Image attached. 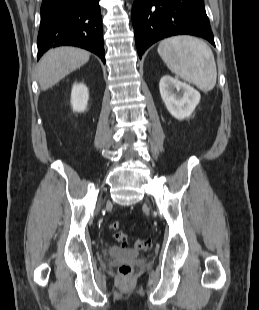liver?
Returning a JSON list of instances; mask_svg holds the SVG:
<instances>
[{
    "mask_svg": "<svg viewBox=\"0 0 259 310\" xmlns=\"http://www.w3.org/2000/svg\"><path fill=\"white\" fill-rule=\"evenodd\" d=\"M90 53L75 47H58L49 50L40 59L37 78L45 91L65 76L88 62Z\"/></svg>",
    "mask_w": 259,
    "mask_h": 310,
    "instance_id": "6515ba94",
    "label": "liver"
}]
</instances>
